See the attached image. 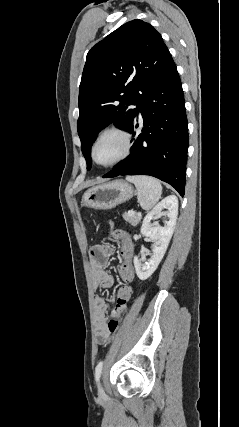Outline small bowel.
I'll use <instances>...</instances> for the list:
<instances>
[{"label":"small bowel","instance_id":"obj_1","mask_svg":"<svg viewBox=\"0 0 239 427\" xmlns=\"http://www.w3.org/2000/svg\"><path fill=\"white\" fill-rule=\"evenodd\" d=\"M121 235V234H120ZM114 248L111 245L99 244L90 249V264L92 270L93 285L96 289H108L114 285V277L107 271L108 260L112 255ZM134 288L129 298H124L126 302L119 308H115L113 316L120 318L126 310V303L131 298ZM119 298H117L118 300ZM117 303V301H116ZM96 329L98 332L100 343L105 342V336L108 333L107 313L109 306L106 300L101 296H96L94 299Z\"/></svg>","mask_w":239,"mask_h":427}]
</instances>
